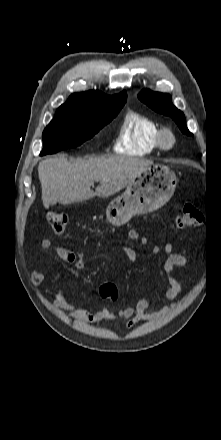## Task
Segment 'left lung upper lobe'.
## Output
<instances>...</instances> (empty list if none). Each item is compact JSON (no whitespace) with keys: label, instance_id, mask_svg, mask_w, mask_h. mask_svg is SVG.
Instances as JSON below:
<instances>
[{"label":"left lung upper lobe","instance_id":"left-lung-upper-lobe-1","mask_svg":"<svg viewBox=\"0 0 221 440\" xmlns=\"http://www.w3.org/2000/svg\"><path fill=\"white\" fill-rule=\"evenodd\" d=\"M138 97L153 110L170 116L184 134L193 136V134L186 127L184 114L171 103L170 96L168 94L152 92L144 89Z\"/></svg>","mask_w":221,"mask_h":440}]
</instances>
